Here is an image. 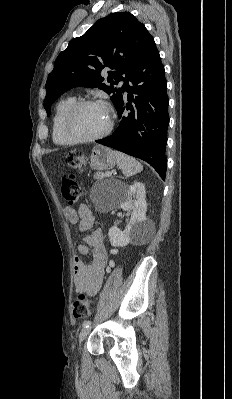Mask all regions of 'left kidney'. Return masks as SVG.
I'll use <instances>...</instances> for the list:
<instances>
[{
	"instance_id": "5707ae66",
	"label": "left kidney",
	"mask_w": 232,
	"mask_h": 399,
	"mask_svg": "<svg viewBox=\"0 0 232 399\" xmlns=\"http://www.w3.org/2000/svg\"><path fill=\"white\" fill-rule=\"evenodd\" d=\"M122 196L120 207L126 211H132L131 217L124 229L120 231L117 225H112L108 231L111 245L123 247L127 243H141L145 241L149 227L152 225L151 219L146 217L147 203L145 186L142 182H134L132 186L120 184L118 190Z\"/></svg>"
}]
</instances>
